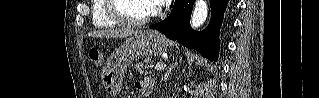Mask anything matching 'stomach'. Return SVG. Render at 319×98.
I'll use <instances>...</instances> for the list:
<instances>
[{"mask_svg": "<svg viewBox=\"0 0 319 98\" xmlns=\"http://www.w3.org/2000/svg\"><path fill=\"white\" fill-rule=\"evenodd\" d=\"M168 42L155 31L134 34L115 51L111 63L102 74L105 92L116 95L122 86L123 76L129 64L141 56H159L166 52Z\"/></svg>", "mask_w": 319, "mask_h": 98, "instance_id": "stomach-1", "label": "stomach"}]
</instances>
